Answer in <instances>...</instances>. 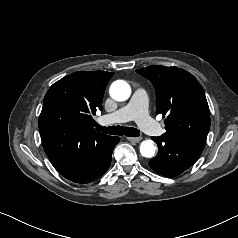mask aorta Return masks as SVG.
I'll return each instance as SVG.
<instances>
[{"label": "aorta", "instance_id": "1", "mask_svg": "<svg viewBox=\"0 0 238 238\" xmlns=\"http://www.w3.org/2000/svg\"><path fill=\"white\" fill-rule=\"evenodd\" d=\"M110 96L116 101H125L131 95L130 85L123 80L114 81L109 90ZM156 146L152 140H144L140 144V153L143 157L152 158L155 155Z\"/></svg>", "mask_w": 238, "mask_h": 238}]
</instances>
